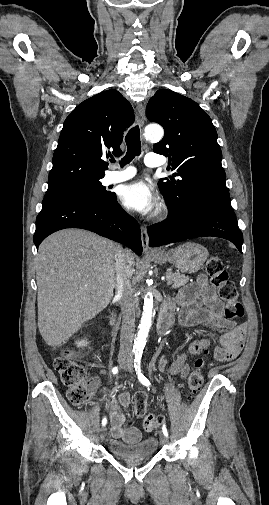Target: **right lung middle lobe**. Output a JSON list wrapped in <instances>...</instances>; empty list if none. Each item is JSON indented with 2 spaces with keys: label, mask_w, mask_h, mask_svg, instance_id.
<instances>
[{
  "label": "right lung middle lobe",
  "mask_w": 269,
  "mask_h": 505,
  "mask_svg": "<svg viewBox=\"0 0 269 505\" xmlns=\"http://www.w3.org/2000/svg\"><path fill=\"white\" fill-rule=\"evenodd\" d=\"M64 194L82 195L95 201H105L113 195V193L105 190V187L102 186L99 179H93L71 184L68 186L48 189L44 198Z\"/></svg>",
  "instance_id": "right-lung-middle-lobe-1"
}]
</instances>
